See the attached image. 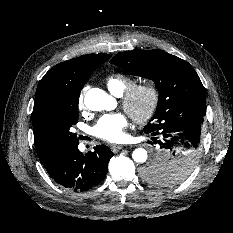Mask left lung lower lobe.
I'll list each match as a JSON object with an SVG mask.
<instances>
[{
    "label": "left lung lower lobe",
    "instance_id": "obj_1",
    "mask_svg": "<svg viewBox=\"0 0 233 233\" xmlns=\"http://www.w3.org/2000/svg\"><path fill=\"white\" fill-rule=\"evenodd\" d=\"M201 122L198 119H177L165 122L157 130L144 131L153 137L151 144H156L158 152H167L166 161H162L160 154L153 157L152 162L165 164L180 156L200 157L202 152ZM165 184V183H159Z\"/></svg>",
    "mask_w": 233,
    "mask_h": 233
}]
</instances>
